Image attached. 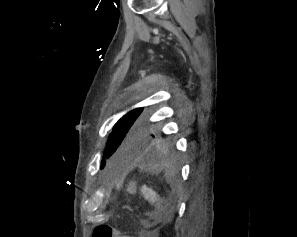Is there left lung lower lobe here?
Instances as JSON below:
<instances>
[{"label": "left lung lower lobe", "mask_w": 297, "mask_h": 237, "mask_svg": "<svg viewBox=\"0 0 297 237\" xmlns=\"http://www.w3.org/2000/svg\"><path fill=\"white\" fill-rule=\"evenodd\" d=\"M162 147H164V144L163 143H160L159 144V149H162ZM158 147L157 145H153L152 149L150 150V152L148 153L149 155H154L156 156L157 154H159L158 152Z\"/></svg>", "instance_id": "1"}]
</instances>
